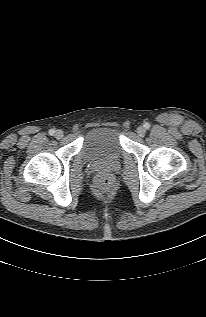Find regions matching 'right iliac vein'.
Returning <instances> with one entry per match:
<instances>
[{"mask_svg": "<svg viewBox=\"0 0 206 317\" xmlns=\"http://www.w3.org/2000/svg\"><path fill=\"white\" fill-rule=\"evenodd\" d=\"M64 136V132L62 130H56L55 137L57 139H61Z\"/></svg>", "mask_w": 206, "mask_h": 317, "instance_id": "63e3f726", "label": "right iliac vein"}]
</instances>
